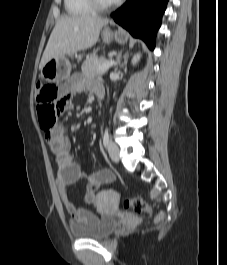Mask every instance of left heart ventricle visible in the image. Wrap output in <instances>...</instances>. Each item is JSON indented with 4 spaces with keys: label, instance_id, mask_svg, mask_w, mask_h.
I'll list each match as a JSON object with an SVG mask.
<instances>
[{
    "label": "left heart ventricle",
    "instance_id": "obj_1",
    "mask_svg": "<svg viewBox=\"0 0 227 265\" xmlns=\"http://www.w3.org/2000/svg\"><path fill=\"white\" fill-rule=\"evenodd\" d=\"M102 3H110L113 2L112 0H100Z\"/></svg>",
    "mask_w": 227,
    "mask_h": 265
}]
</instances>
